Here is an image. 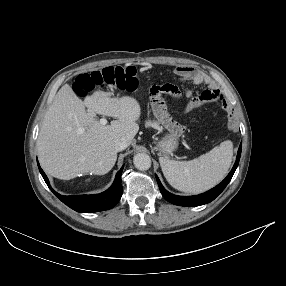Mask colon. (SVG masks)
<instances>
[{
  "mask_svg": "<svg viewBox=\"0 0 286 286\" xmlns=\"http://www.w3.org/2000/svg\"><path fill=\"white\" fill-rule=\"evenodd\" d=\"M139 79L134 67H105L98 71L82 73L75 82V90L78 95L85 96L97 88L113 86L120 90L133 91L138 87ZM150 101L152 112L166 132L179 139H185L189 135L187 127L171 118L170 109L162 94L175 95L177 88L171 84L156 85L152 87Z\"/></svg>",
  "mask_w": 286,
  "mask_h": 286,
  "instance_id": "obj_1",
  "label": "colon"
}]
</instances>
